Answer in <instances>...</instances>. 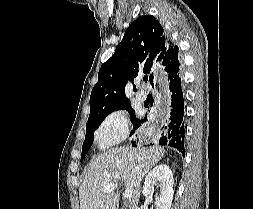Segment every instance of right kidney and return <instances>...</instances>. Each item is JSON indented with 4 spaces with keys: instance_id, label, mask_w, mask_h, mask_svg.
Returning <instances> with one entry per match:
<instances>
[{
    "instance_id": "1",
    "label": "right kidney",
    "mask_w": 253,
    "mask_h": 209,
    "mask_svg": "<svg viewBox=\"0 0 253 209\" xmlns=\"http://www.w3.org/2000/svg\"><path fill=\"white\" fill-rule=\"evenodd\" d=\"M173 173L165 165L156 166L145 178L142 193L147 198L154 195V187L160 188L159 195H156V209H171L174 190Z\"/></svg>"
}]
</instances>
